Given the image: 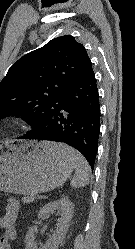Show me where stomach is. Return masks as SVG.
Instances as JSON below:
<instances>
[{
    "instance_id": "obj_1",
    "label": "stomach",
    "mask_w": 135,
    "mask_h": 249,
    "mask_svg": "<svg viewBox=\"0 0 135 249\" xmlns=\"http://www.w3.org/2000/svg\"><path fill=\"white\" fill-rule=\"evenodd\" d=\"M58 144L34 140L0 144V191L35 195L62 185L74 164Z\"/></svg>"
}]
</instances>
